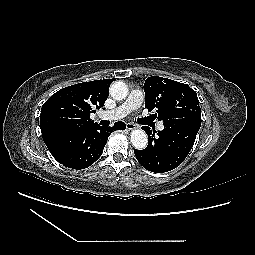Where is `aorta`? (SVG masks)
Masks as SVG:
<instances>
[{"label": "aorta", "mask_w": 255, "mask_h": 255, "mask_svg": "<svg viewBox=\"0 0 255 255\" xmlns=\"http://www.w3.org/2000/svg\"><path fill=\"white\" fill-rule=\"evenodd\" d=\"M128 94L127 85L122 81L112 83L110 86V95L115 100H123ZM132 145L136 149H144L148 144V137L145 131L141 129H135L130 134Z\"/></svg>", "instance_id": "1"}]
</instances>
